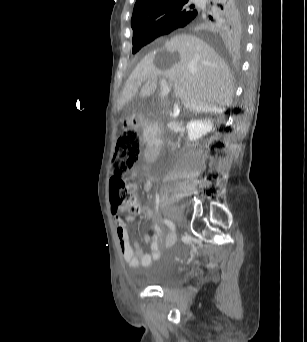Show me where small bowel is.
<instances>
[{"mask_svg": "<svg viewBox=\"0 0 307 342\" xmlns=\"http://www.w3.org/2000/svg\"><path fill=\"white\" fill-rule=\"evenodd\" d=\"M146 184L145 189H148ZM153 211L147 209L143 213V219L145 221L153 218ZM127 220H132L128 219ZM114 225L116 229V236L119 242L120 251L123 259L127 265L131 268H138L140 266H148L153 259H157L160 255L159 240L163 236V233L159 231L158 225L155 228L158 230L154 235H145L144 240L150 246V253H145L136 241H133L129 235L127 224L124 219L119 216L114 217Z\"/></svg>", "mask_w": 307, "mask_h": 342, "instance_id": "c3829d8e", "label": "small bowel"}]
</instances>
